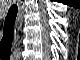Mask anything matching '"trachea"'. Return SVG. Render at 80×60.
Instances as JSON below:
<instances>
[{"label":"trachea","mask_w":80,"mask_h":60,"mask_svg":"<svg viewBox=\"0 0 80 60\" xmlns=\"http://www.w3.org/2000/svg\"><path fill=\"white\" fill-rule=\"evenodd\" d=\"M17 5L13 4L5 18L4 29H3V37L0 42V53L1 55L8 56L10 58L11 47L13 41V28L15 24V19L17 16Z\"/></svg>","instance_id":"1"}]
</instances>
